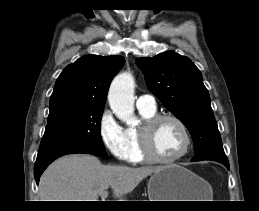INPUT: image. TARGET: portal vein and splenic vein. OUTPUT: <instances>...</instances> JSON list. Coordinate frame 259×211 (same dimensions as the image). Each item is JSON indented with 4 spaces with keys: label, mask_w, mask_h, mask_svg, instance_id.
<instances>
[{
    "label": "portal vein and splenic vein",
    "mask_w": 259,
    "mask_h": 211,
    "mask_svg": "<svg viewBox=\"0 0 259 211\" xmlns=\"http://www.w3.org/2000/svg\"><path fill=\"white\" fill-rule=\"evenodd\" d=\"M107 195H108V192H107V191H102V192L100 193V196H101L102 201H104V199L107 197Z\"/></svg>",
    "instance_id": "18ae733b"
}]
</instances>
